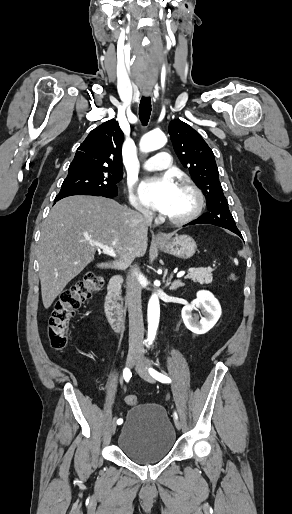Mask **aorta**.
<instances>
[{
	"label": "aorta",
	"instance_id": "1",
	"mask_svg": "<svg viewBox=\"0 0 292 514\" xmlns=\"http://www.w3.org/2000/svg\"><path fill=\"white\" fill-rule=\"evenodd\" d=\"M167 142V138L161 130H153L146 136H143L140 144L142 152H153L163 148ZM160 306L158 296L153 294L148 304V342H153L156 336V330L159 324Z\"/></svg>",
	"mask_w": 292,
	"mask_h": 514
}]
</instances>
